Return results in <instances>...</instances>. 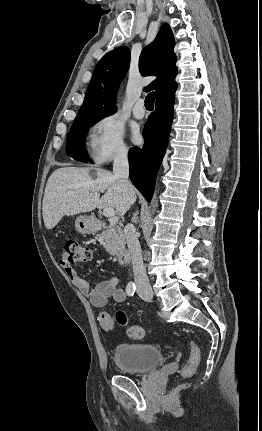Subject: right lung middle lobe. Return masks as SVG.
Masks as SVG:
<instances>
[{
  "label": "right lung middle lobe",
  "mask_w": 262,
  "mask_h": 431,
  "mask_svg": "<svg viewBox=\"0 0 262 431\" xmlns=\"http://www.w3.org/2000/svg\"><path fill=\"white\" fill-rule=\"evenodd\" d=\"M99 119L85 118L75 119L70 132L67 135L66 153L76 160H83L91 162L87 151L85 149V136L90 127L97 123Z\"/></svg>",
  "instance_id": "dd1d6c3e"
}]
</instances>
